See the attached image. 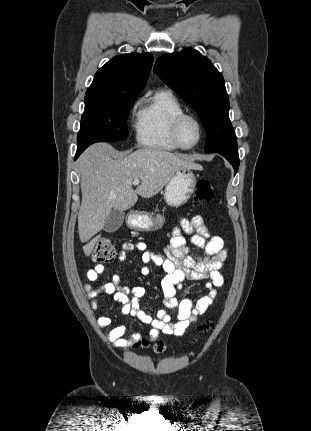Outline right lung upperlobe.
Returning <instances> with one entry per match:
<instances>
[{"label": "right lung upper lobe", "instance_id": "right-lung-upper-lobe-1", "mask_svg": "<svg viewBox=\"0 0 311 431\" xmlns=\"http://www.w3.org/2000/svg\"><path fill=\"white\" fill-rule=\"evenodd\" d=\"M153 63L150 53L116 56L100 68L86 93L138 96Z\"/></svg>", "mask_w": 311, "mask_h": 431}]
</instances>
